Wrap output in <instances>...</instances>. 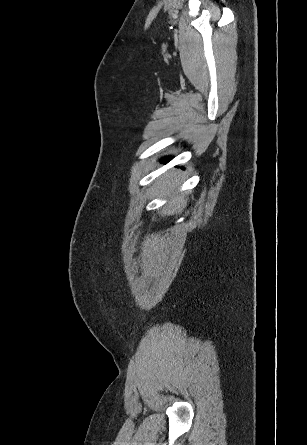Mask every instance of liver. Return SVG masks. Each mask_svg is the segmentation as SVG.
<instances>
[{"label":"liver","instance_id":"obj_1","mask_svg":"<svg viewBox=\"0 0 307 445\" xmlns=\"http://www.w3.org/2000/svg\"><path fill=\"white\" fill-rule=\"evenodd\" d=\"M172 182H176V180L168 174V178H164L163 186H165V188H171Z\"/></svg>","mask_w":307,"mask_h":445}]
</instances>
